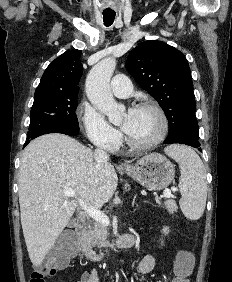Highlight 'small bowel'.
Masks as SVG:
<instances>
[{
    "label": "small bowel",
    "mask_w": 232,
    "mask_h": 282,
    "mask_svg": "<svg viewBox=\"0 0 232 282\" xmlns=\"http://www.w3.org/2000/svg\"><path fill=\"white\" fill-rule=\"evenodd\" d=\"M155 266V259L152 255H145L138 265V274L145 275L150 273ZM64 282V281H61ZM77 282H100L99 272L97 269H92L90 271H84ZM157 282H164L162 280H158Z\"/></svg>",
    "instance_id": "small-bowel-1"
}]
</instances>
